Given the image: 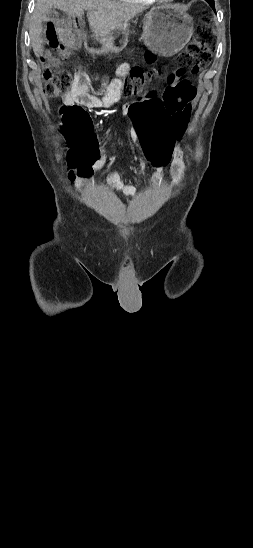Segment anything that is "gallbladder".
Returning <instances> with one entry per match:
<instances>
[{
    "mask_svg": "<svg viewBox=\"0 0 253 548\" xmlns=\"http://www.w3.org/2000/svg\"><path fill=\"white\" fill-rule=\"evenodd\" d=\"M58 12L55 9H51L48 11L45 20H54L56 17H58Z\"/></svg>",
    "mask_w": 253,
    "mask_h": 548,
    "instance_id": "bac80fb5",
    "label": "gallbladder"
}]
</instances>
